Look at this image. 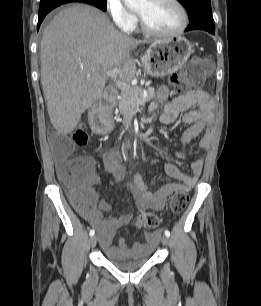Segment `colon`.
I'll return each instance as SVG.
<instances>
[{
    "label": "colon",
    "mask_w": 261,
    "mask_h": 306,
    "mask_svg": "<svg viewBox=\"0 0 261 306\" xmlns=\"http://www.w3.org/2000/svg\"><path fill=\"white\" fill-rule=\"evenodd\" d=\"M212 65L201 58L190 60L181 72L174 76L173 82L179 92L188 94L200 91ZM96 117L107 125L109 122L108 110L99 108ZM87 127L82 125L71 136L57 135L53 138V150L56 157L66 163L58 169L60 179L72 188L76 201H81L89 195L87 188L89 168L82 157L72 158L75 146H80L88 141ZM189 201V196L184 191L175 192L170 200V208L174 214H181ZM135 225L144 230L155 229L159 225V218L153 213H142L135 219Z\"/></svg>",
    "instance_id": "colon-1"
}]
</instances>
